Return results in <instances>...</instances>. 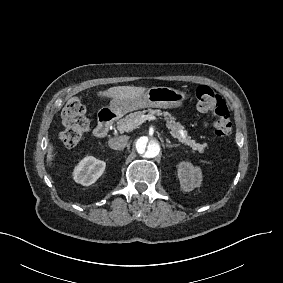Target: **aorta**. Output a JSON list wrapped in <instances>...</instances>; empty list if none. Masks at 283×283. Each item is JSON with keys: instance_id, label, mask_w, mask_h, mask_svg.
<instances>
[{"instance_id": "762f6f07", "label": "aorta", "mask_w": 283, "mask_h": 283, "mask_svg": "<svg viewBox=\"0 0 283 283\" xmlns=\"http://www.w3.org/2000/svg\"><path fill=\"white\" fill-rule=\"evenodd\" d=\"M133 148L136 156L141 159L139 161H157L161 156L162 140L157 134L145 133L135 139Z\"/></svg>"}]
</instances>
